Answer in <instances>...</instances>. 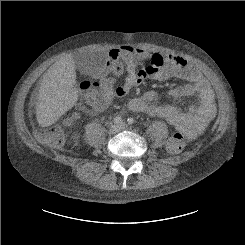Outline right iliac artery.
Returning <instances> with one entry per match:
<instances>
[{
  "label": "right iliac artery",
  "instance_id": "right-iliac-artery-1",
  "mask_svg": "<svg viewBox=\"0 0 245 245\" xmlns=\"http://www.w3.org/2000/svg\"><path fill=\"white\" fill-rule=\"evenodd\" d=\"M113 121H114L115 124H121L122 123V118L120 116H117V117L114 118Z\"/></svg>",
  "mask_w": 245,
  "mask_h": 245
}]
</instances>
